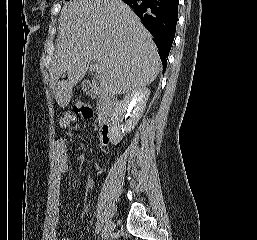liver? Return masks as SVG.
Here are the masks:
<instances>
[{
  "label": "liver",
  "mask_w": 257,
  "mask_h": 240,
  "mask_svg": "<svg viewBox=\"0 0 257 240\" xmlns=\"http://www.w3.org/2000/svg\"><path fill=\"white\" fill-rule=\"evenodd\" d=\"M58 28L50 83L60 107L69 104L91 61L100 65V87L112 95L145 87L159 74L160 57L150 33L121 0L69 1ZM64 75L67 79L60 81Z\"/></svg>",
  "instance_id": "1"
}]
</instances>
